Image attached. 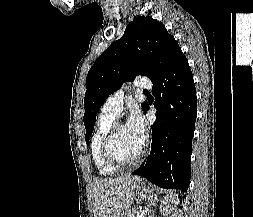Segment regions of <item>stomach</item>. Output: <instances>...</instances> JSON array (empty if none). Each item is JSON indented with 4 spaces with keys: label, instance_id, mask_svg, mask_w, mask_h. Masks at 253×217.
I'll return each instance as SVG.
<instances>
[{
    "label": "stomach",
    "instance_id": "obj_1",
    "mask_svg": "<svg viewBox=\"0 0 253 217\" xmlns=\"http://www.w3.org/2000/svg\"><path fill=\"white\" fill-rule=\"evenodd\" d=\"M135 195L141 199L153 198L155 196L154 188L146 185L144 182H139L135 188Z\"/></svg>",
    "mask_w": 253,
    "mask_h": 217
}]
</instances>
